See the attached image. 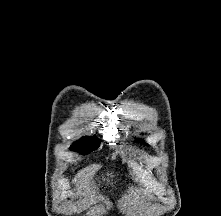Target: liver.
I'll return each instance as SVG.
<instances>
[{
    "mask_svg": "<svg viewBox=\"0 0 221 216\" xmlns=\"http://www.w3.org/2000/svg\"><path fill=\"white\" fill-rule=\"evenodd\" d=\"M97 169H98L97 167H93V168L86 170V174H85V172L83 173L84 174V176H83L84 187H86L89 184V180L92 178V176L94 175V173Z\"/></svg>",
    "mask_w": 221,
    "mask_h": 216,
    "instance_id": "liver-1",
    "label": "liver"
}]
</instances>
